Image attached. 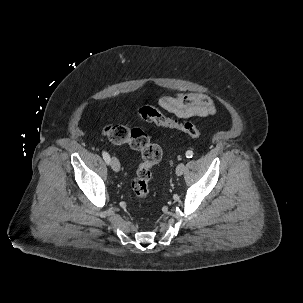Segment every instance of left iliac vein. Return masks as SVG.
Listing matches in <instances>:
<instances>
[{"instance_id":"1","label":"left iliac vein","mask_w":303,"mask_h":303,"mask_svg":"<svg viewBox=\"0 0 303 303\" xmlns=\"http://www.w3.org/2000/svg\"><path fill=\"white\" fill-rule=\"evenodd\" d=\"M185 171V164L184 163H180L178 164V166L176 167V174L177 176H181Z\"/></svg>"}]
</instances>
